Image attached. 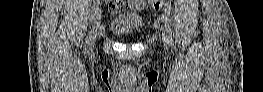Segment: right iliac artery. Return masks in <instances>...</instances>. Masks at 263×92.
I'll use <instances>...</instances> for the list:
<instances>
[{"mask_svg":"<svg viewBox=\"0 0 263 92\" xmlns=\"http://www.w3.org/2000/svg\"><path fill=\"white\" fill-rule=\"evenodd\" d=\"M100 4H102V1L100 0H96L95 3L93 4L92 10L94 12V18L92 21V28H95V26H97V15L100 14V7H99ZM89 40H90V36L87 37L86 39V44H85L86 49H88L89 47Z\"/></svg>","mask_w":263,"mask_h":92,"instance_id":"1","label":"right iliac artery"}]
</instances>
